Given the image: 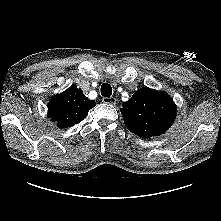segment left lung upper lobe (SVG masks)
<instances>
[{"instance_id":"5c2ea615","label":"left lung upper lobe","mask_w":221,"mask_h":221,"mask_svg":"<svg viewBox=\"0 0 221 221\" xmlns=\"http://www.w3.org/2000/svg\"><path fill=\"white\" fill-rule=\"evenodd\" d=\"M129 131L142 138L165 133L176 118V105L161 91L143 87L120 109Z\"/></svg>"}]
</instances>
